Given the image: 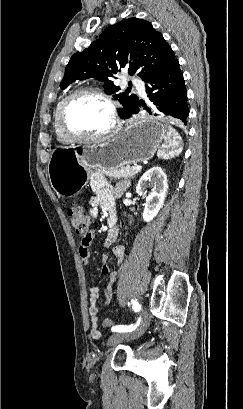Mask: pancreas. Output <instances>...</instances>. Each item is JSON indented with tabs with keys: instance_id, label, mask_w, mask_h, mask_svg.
Segmentation results:
<instances>
[{
	"instance_id": "1",
	"label": "pancreas",
	"mask_w": 243,
	"mask_h": 409,
	"mask_svg": "<svg viewBox=\"0 0 243 409\" xmlns=\"http://www.w3.org/2000/svg\"><path fill=\"white\" fill-rule=\"evenodd\" d=\"M103 174L106 176H109L114 179H119V178H133L136 174L139 173L138 170H135L134 167H131L129 165L125 167H121L118 169H109V170H101Z\"/></svg>"
}]
</instances>
